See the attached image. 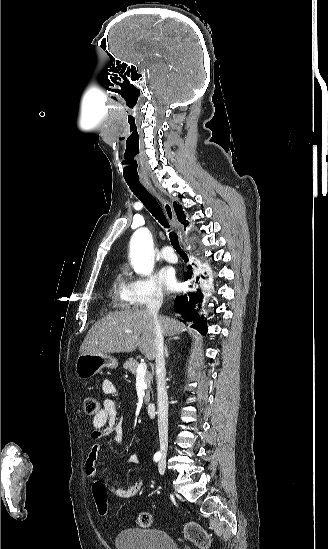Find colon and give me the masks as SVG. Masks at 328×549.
Wrapping results in <instances>:
<instances>
[{
	"mask_svg": "<svg viewBox=\"0 0 328 549\" xmlns=\"http://www.w3.org/2000/svg\"><path fill=\"white\" fill-rule=\"evenodd\" d=\"M84 409L89 415H96L100 411V404L94 397L88 396L84 399ZM93 497L98 513L106 516L108 513L107 488L103 481L95 480L92 486ZM137 523L142 528H148L152 524V515L149 512H141L137 517ZM185 537L200 548H207L210 543V536L200 525L188 523L184 527Z\"/></svg>",
	"mask_w": 328,
	"mask_h": 549,
	"instance_id": "1",
	"label": "colon"
}]
</instances>
